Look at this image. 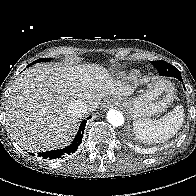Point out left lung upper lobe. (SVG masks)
Returning <instances> with one entry per match:
<instances>
[{
	"mask_svg": "<svg viewBox=\"0 0 196 196\" xmlns=\"http://www.w3.org/2000/svg\"><path fill=\"white\" fill-rule=\"evenodd\" d=\"M151 64L154 65L158 71L159 74L162 76H175V75H180V72L177 68L174 66H171L169 63L165 61H151Z\"/></svg>",
	"mask_w": 196,
	"mask_h": 196,
	"instance_id": "obj_1",
	"label": "left lung upper lobe"
}]
</instances>
